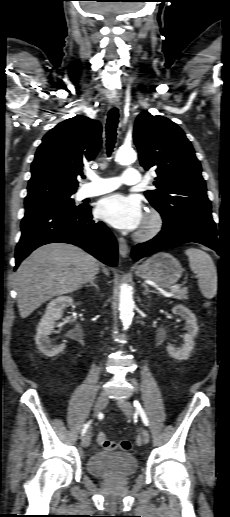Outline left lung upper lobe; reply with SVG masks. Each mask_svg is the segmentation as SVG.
<instances>
[{
  "label": "left lung upper lobe",
  "mask_w": 230,
  "mask_h": 517,
  "mask_svg": "<svg viewBox=\"0 0 230 517\" xmlns=\"http://www.w3.org/2000/svg\"><path fill=\"white\" fill-rule=\"evenodd\" d=\"M134 142L145 170L156 167V190L146 198L165 220L190 210H210L200 162L182 129L163 116L142 112L136 119Z\"/></svg>",
  "instance_id": "1"
}]
</instances>
